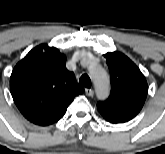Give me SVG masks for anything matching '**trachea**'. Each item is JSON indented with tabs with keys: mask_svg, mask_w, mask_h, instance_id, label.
<instances>
[{
	"mask_svg": "<svg viewBox=\"0 0 165 154\" xmlns=\"http://www.w3.org/2000/svg\"><path fill=\"white\" fill-rule=\"evenodd\" d=\"M79 85L91 88V80L90 77L86 74H83L79 79Z\"/></svg>",
	"mask_w": 165,
	"mask_h": 154,
	"instance_id": "1",
	"label": "trachea"
}]
</instances>
